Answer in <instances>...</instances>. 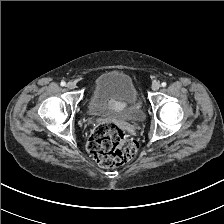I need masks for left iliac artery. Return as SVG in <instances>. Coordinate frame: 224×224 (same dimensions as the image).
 <instances>
[{
  "mask_svg": "<svg viewBox=\"0 0 224 224\" xmlns=\"http://www.w3.org/2000/svg\"><path fill=\"white\" fill-rule=\"evenodd\" d=\"M166 85H167L166 82H162L161 84L162 87H166Z\"/></svg>",
  "mask_w": 224,
  "mask_h": 224,
  "instance_id": "44dca946",
  "label": "left iliac artery"
}]
</instances>
